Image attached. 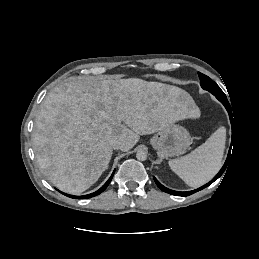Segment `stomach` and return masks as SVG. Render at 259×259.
<instances>
[{
    "instance_id": "stomach-1",
    "label": "stomach",
    "mask_w": 259,
    "mask_h": 259,
    "mask_svg": "<svg viewBox=\"0 0 259 259\" xmlns=\"http://www.w3.org/2000/svg\"><path fill=\"white\" fill-rule=\"evenodd\" d=\"M150 144L158 157L164 159L184 153L191 144V137L184 127L173 123L158 131L150 139Z\"/></svg>"
}]
</instances>
